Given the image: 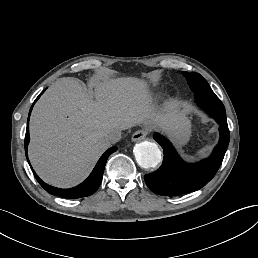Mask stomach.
I'll return each mask as SVG.
<instances>
[{
    "label": "stomach",
    "instance_id": "0dacf381",
    "mask_svg": "<svg viewBox=\"0 0 258 258\" xmlns=\"http://www.w3.org/2000/svg\"><path fill=\"white\" fill-rule=\"evenodd\" d=\"M192 135V121L188 115L182 119L181 126L178 129L177 133L174 136V140L179 144H186Z\"/></svg>",
    "mask_w": 258,
    "mask_h": 258
}]
</instances>
